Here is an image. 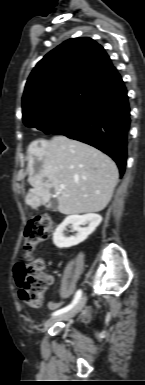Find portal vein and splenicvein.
<instances>
[{"label": "portal vein and splenic vein", "mask_w": 145, "mask_h": 385, "mask_svg": "<svg viewBox=\"0 0 145 385\" xmlns=\"http://www.w3.org/2000/svg\"><path fill=\"white\" fill-rule=\"evenodd\" d=\"M65 188V185L64 184H60V189H64Z\"/></svg>", "instance_id": "1"}]
</instances>
